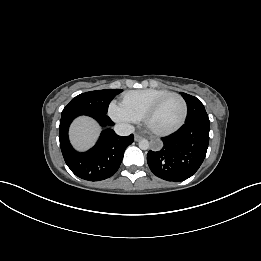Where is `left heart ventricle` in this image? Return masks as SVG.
<instances>
[{"label": "left heart ventricle", "instance_id": "b2bd125f", "mask_svg": "<svg viewBox=\"0 0 261 261\" xmlns=\"http://www.w3.org/2000/svg\"><path fill=\"white\" fill-rule=\"evenodd\" d=\"M182 116V104L176 97L167 99L151 117L149 124L157 130L174 127Z\"/></svg>", "mask_w": 261, "mask_h": 261}]
</instances>
